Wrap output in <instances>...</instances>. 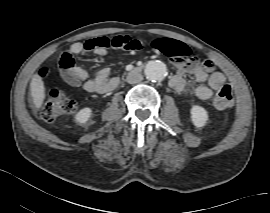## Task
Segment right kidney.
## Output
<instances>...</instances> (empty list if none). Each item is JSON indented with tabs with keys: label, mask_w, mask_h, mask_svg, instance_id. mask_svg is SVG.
Returning <instances> with one entry per match:
<instances>
[{
	"label": "right kidney",
	"mask_w": 270,
	"mask_h": 213,
	"mask_svg": "<svg viewBox=\"0 0 270 213\" xmlns=\"http://www.w3.org/2000/svg\"><path fill=\"white\" fill-rule=\"evenodd\" d=\"M91 108L86 107L81 109L77 114H76V121L80 124L86 123L88 121V119L91 116Z\"/></svg>",
	"instance_id": "right-kidney-1"
}]
</instances>
